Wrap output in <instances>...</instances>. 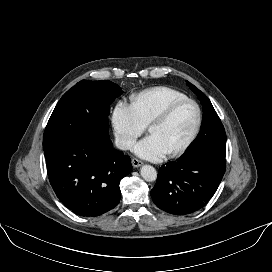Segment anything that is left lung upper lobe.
<instances>
[{"label": "left lung upper lobe", "mask_w": 272, "mask_h": 272, "mask_svg": "<svg viewBox=\"0 0 272 272\" xmlns=\"http://www.w3.org/2000/svg\"><path fill=\"white\" fill-rule=\"evenodd\" d=\"M186 83L197 95L203 106L204 113L201 131L187 152L207 151L212 154L225 157L226 133L219 116L217 115L208 97L190 82L186 81Z\"/></svg>", "instance_id": "1"}]
</instances>
